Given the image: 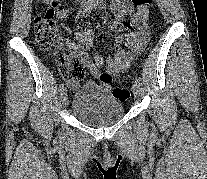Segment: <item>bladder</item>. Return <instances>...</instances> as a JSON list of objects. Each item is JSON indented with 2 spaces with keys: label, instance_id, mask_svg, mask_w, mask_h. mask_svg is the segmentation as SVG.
Segmentation results:
<instances>
[{
  "label": "bladder",
  "instance_id": "bladder-1",
  "mask_svg": "<svg viewBox=\"0 0 207 179\" xmlns=\"http://www.w3.org/2000/svg\"><path fill=\"white\" fill-rule=\"evenodd\" d=\"M72 113L85 124L106 126L122 118L124 105L110 90L86 82L73 96Z\"/></svg>",
  "mask_w": 207,
  "mask_h": 179
}]
</instances>
